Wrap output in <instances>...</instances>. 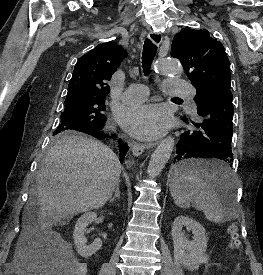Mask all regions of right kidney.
<instances>
[{
    "label": "right kidney",
    "instance_id": "right-kidney-1",
    "mask_svg": "<svg viewBox=\"0 0 263 275\" xmlns=\"http://www.w3.org/2000/svg\"><path fill=\"white\" fill-rule=\"evenodd\" d=\"M97 219L95 212H88L83 214L76 222L73 232L74 243L77 252L85 258H88L95 254L102 246L100 238H96L92 244H86L85 232L86 227Z\"/></svg>",
    "mask_w": 263,
    "mask_h": 275
}]
</instances>
